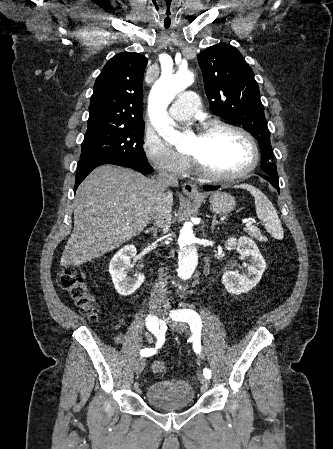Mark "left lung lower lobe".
<instances>
[{
    "label": "left lung lower lobe",
    "instance_id": "0a47b994",
    "mask_svg": "<svg viewBox=\"0 0 333 449\" xmlns=\"http://www.w3.org/2000/svg\"><path fill=\"white\" fill-rule=\"evenodd\" d=\"M262 178H264V179H266L267 181H269L278 191H279V184H278V181H279V178H273V177H270V176H266V175H262V174H259ZM217 188H219V186H205L204 187V189L206 190V191H212V190H215V189H217Z\"/></svg>",
    "mask_w": 333,
    "mask_h": 449
}]
</instances>
